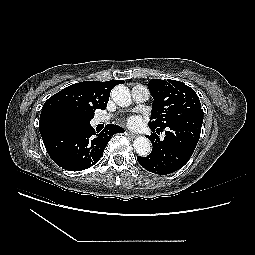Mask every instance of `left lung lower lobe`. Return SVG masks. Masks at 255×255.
Returning <instances> with one entry per match:
<instances>
[{"label":"left lung lower lobe","instance_id":"1","mask_svg":"<svg viewBox=\"0 0 255 255\" xmlns=\"http://www.w3.org/2000/svg\"><path fill=\"white\" fill-rule=\"evenodd\" d=\"M203 123V113L193 117L176 121L166 128H158L151 123L152 131L162 132L165 129L164 140H160L156 133L148 136L152 142V152L147 157H137L139 164L146 170L160 175L173 173L182 168L192 156L198 143Z\"/></svg>","mask_w":255,"mask_h":255}]
</instances>
